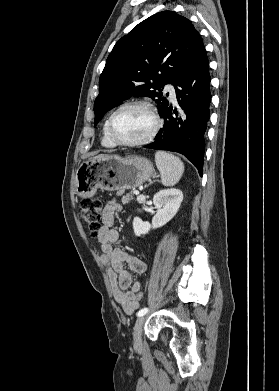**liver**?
<instances>
[{
  "instance_id": "obj_1",
  "label": "liver",
  "mask_w": 279,
  "mask_h": 391,
  "mask_svg": "<svg viewBox=\"0 0 279 391\" xmlns=\"http://www.w3.org/2000/svg\"><path fill=\"white\" fill-rule=\"evenodd\" d=\"M105 157H109V156H108V155L101 154V155H98V156H96V157H94V158H91V159H89V160L97 159V158H105Z\"/></svg>"
}]
</instances>
